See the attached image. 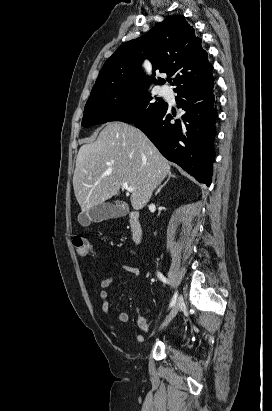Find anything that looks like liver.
Returning a JSON list of instances; mask_svg holds the SVG:
<instances>
[{
  "mask_svg": "<svg viewBox=\"0 0 272 411\" xmlns=\"http://www.w3.org/2000/svg\"><path fill=\"white\" fill-rule=\"evenodd\" d=\"M169 162L139 129L113 122L98 138L79 149L73 176L75 197L82 213L119 195L123 183L131 191V205L140 210L170 172Z\"/></svg>",
  "mask_w": 272,
  "mask_h": 411,
  "instance_id": "1",
  "label": "liver"
}]
</instances>
